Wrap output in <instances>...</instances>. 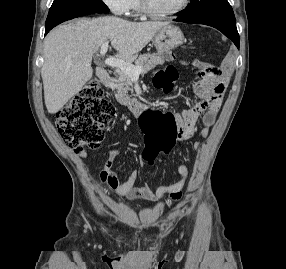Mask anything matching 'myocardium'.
Listing matches in <instances>:
<instances>
[{
  "mask_svg": "<svg viewBox=\"0 0 286 269\" xmlns=\"http://www.w3.org/2000/svg\"><path fill=\"white\" fill-rule=\"evenodd\" d=\"M190 0H183L182 3L179 5V7H177L176 9L170 11V12H166V13H157L155 11H153L149 4H148V0H138V4H139V9L141 11L142 14H144L145 16L151 18V19H167V18H171L179 13H181L182 11H184L187 6L189 5Z\"/></svg>",
  "mask_w": 286,
  "mask_h": 269,
  "instance_id": "obj_1",
  "label": "myocardium"
}]
</instances>
